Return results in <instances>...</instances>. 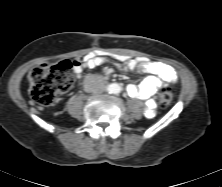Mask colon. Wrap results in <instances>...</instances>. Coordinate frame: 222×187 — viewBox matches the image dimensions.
Listing matches in <instances>:
<instances>
[{
  "label": "colon",
  "mask_w": 222,
  "mask_h": 187,
  "mask_svg": "<svg viewBox=\"0 0 222 187\" xmlns=\"http://www.w3.org/2000/svg\"><path fill=\"white\" fill-rule=\"evenodd\" d=\"M75 63L65 60L58 64H40L29 73L30 96L41 106H50L57 97L67 92L74 83ZM173 101V94L163 89L157 97L160 107H168Z\"/></svg>",
  "instance_id": "colon-1"
}]
</instances>
